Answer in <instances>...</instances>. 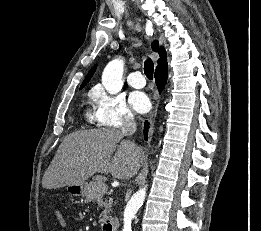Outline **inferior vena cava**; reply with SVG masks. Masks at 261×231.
<instances>
[{"label":"inferior vena cava","mask_w":261,"mask_h":231,"mask_svg":"<svg viewBox=\"0 0 261 231\" xmlns=\"http://www.w3.org/2000/svg\"><path fill=\"white\" fill-rule=\"evenodd\" d=\"M136 123L133 116H126L121 126L123 136L133 135L136 131Z\"/></svg>","instance_id":"obj_1"}]
</instances>
